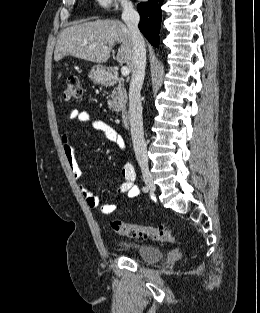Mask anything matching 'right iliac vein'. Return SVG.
<instances>
[{
    "mask_svg": "<svg viewBox=\"0 0 260 313\" xmlns=\"http://www.w3.org/2000/svg\"><path fill=\"white\" fill-rule=\"evenodd\" d=\"M142 176H143V180H144L147 188L151 192H154L156 189L155 184H154V180H153L152 174L150 173V171L147 168L142 169Z\"/></svg>",
    "mask_w": 260,
    "mask_h": 313,
    "instance_id": "obj_1",
    "label": "right iliac vein"
}]
</instances>
